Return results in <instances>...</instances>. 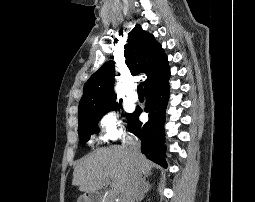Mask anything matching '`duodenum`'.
<instances>
[{
    "label": "duodenum",
    "instance_id": "obj_1",
    "mask_svg": "<svg viewBox=\"0 0 255 202\" xmlns=\"http://www.w3.org/2000/svg\"><path fill=\"white\" fill-rule=\"evenodd\" d=\"M84 202H99V197L94 193H88V195L84 198Z\"/></svg>",
    "mask_w": 255,
    "mask_h": 202
}]
</instances>
